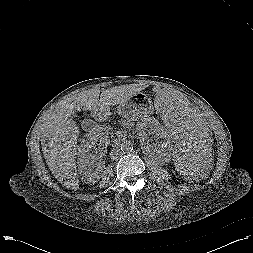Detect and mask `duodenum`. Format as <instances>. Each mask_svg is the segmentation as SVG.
I'll return each mask as SVG.
<instances>
[{"mask_svg": "<svg viewBox=\"0 0 253 253\" xmlns=\"http://www.w3.org/2000/svg\"><path fill=\"white\" fill-rule=\"evenodd\" d=\"M88 131H91L94 129V127L92 125H90L88 128H86Z\"/></svg>", "mask_w": 253, "mask_h": 253, "instance_id": "duodenum-1", "label": "duodenum"}]
</instances>
